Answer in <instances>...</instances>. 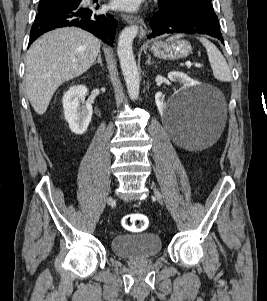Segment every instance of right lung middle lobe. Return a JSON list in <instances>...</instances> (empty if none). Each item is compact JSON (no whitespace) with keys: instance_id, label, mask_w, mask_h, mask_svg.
Returning a JSON list of instances; mask_svg holds the SVG:
<instances>
[{"instance_id":"obj_1","label":"right lung middle lobe","mask_w":267,"mask_h":301,"mask_svg":"<svg viewBox=\"0 0 267 301\" xmlns=\"http://www.w3.org/2000/svg\"><path fill=\"white\" fill-rule=\"evenodd\" d=\"M71 0H40L38 5V12L49 10L55 7H58L64 3H67Z\"/></svg>"}]
</instances>
